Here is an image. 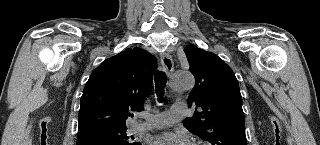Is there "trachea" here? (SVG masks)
<instances>
[{
  "instance_id": "obj_1",
  "label": "trachea",
  "mask_w": 320,
  "mask_h": 145,
  "mask_svg": "<svg viewBox=\"0 0 320 145\" xmlns=\"http://www.w3.org/2000/svg\"><path fill=\"white\" fill-rule=\"evenodd\" d=\"M166 85V74L163 71L155 73V90L158 96V101L162 102L164 95V87Z\"/></svg>"
}]
</instances>
